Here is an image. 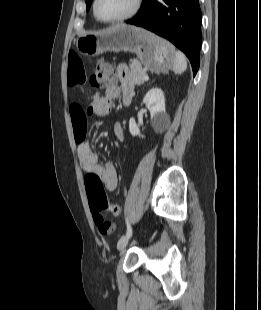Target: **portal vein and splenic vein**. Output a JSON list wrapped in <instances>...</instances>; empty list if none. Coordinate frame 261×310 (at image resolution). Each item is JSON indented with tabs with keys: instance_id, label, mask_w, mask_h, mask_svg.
Instances as JSON below:
<instances>
[{
	"instance_id": "1",
	"label": "portal vein and splenic vein",
	"mask_w": 261,
	"mask_h": 310,
	"mask_svg": "<svg viewBox=\"0 0 261 310\" xmlns=\"http://www.w3.org/2000/svg\"><path fill=\"white\" fill-rule=\"evenodd\" d=\"M143 79H144L145 81L149 80L148 75H144V76H143Z\"/></svg>"
}]
</instances>
